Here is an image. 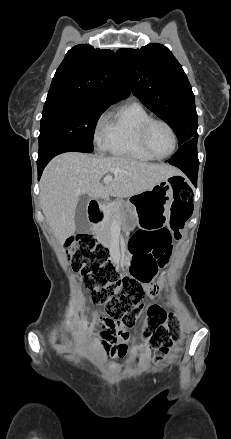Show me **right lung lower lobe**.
<instances>
[{
	"mask_svg": "<svg viewBox=\"0 0 231 439\" xmlns=\"http://www.w3.org/2000/svg\"><path fill=\"white\" fill-rule=\"evenodd\" d=\"M70 151L80 152L79 149L73 146L63 145L56 147L50 154L45 157L38 158L37 160V168H38V179L41 177L43 169L48 164V162L58 154Z\"/></svg>",
	"mask_w": 231,
	"mask_h": 439,
	"instance_id": "obj_1",
	"label": "right lung lower lobe"
}]
</instances>
